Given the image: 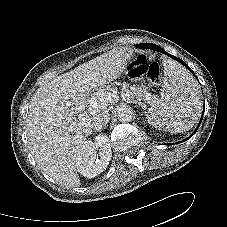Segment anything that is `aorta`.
Here are the masks:
<instances>
[{"label": "aorta", "mask_w": 227, "mask_h": 227, "mask_svg": "<svg viewBox=\"0 0 227 227\" xmlns=\"http://www.w3.org/2000/svg\"><path fill=\"white\" fill-rule=\"evenodd\" d=\"M117 118L121 122H130L133 119V111L129 107H122L117 111Z\"/></svg>", "instance_id": "762f6f07"}]
</instances>
